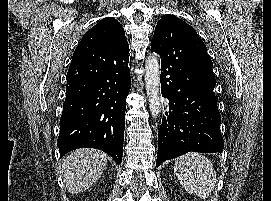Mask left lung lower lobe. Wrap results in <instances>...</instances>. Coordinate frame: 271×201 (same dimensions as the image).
<instances>
[{"label":"left lung lower lobe","instance_id":"left-lung-lower-lobe-1","mask_svg":"<svg viewBox=\"0 0 271 201\" xmlns=\"http://www.w3.org/2000/svg\"><path fill=\"white\" fill-rule=\"evenodd\" d=\"M152 49L161 57V93L169 100L158 132L156 165L190 151L221 152L218 97L202 82L184 34Z\"/></svg>","mask_w":271,"mask_h":201}]
</instances>
